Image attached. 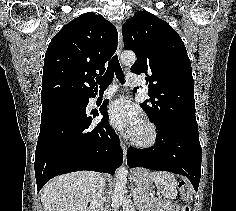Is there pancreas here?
<instances>
[{"label": "pancreas", "mask_w": 236, "mask_h": 211, "mask_svg": "<svg viewBox=\"0 0 236 211\" xmlns=\"http://www.w3.org/2000/svg\"><path fill=\"white\" fill-rule=\"evenodd\" d=\"M134 194L137 195L135 205L142 211H150L152 208H158L162 206V202L159 198L149 196V194L142 189H137Z\"/></svg>", "instance_id": "pancreas-1"}]
</instances>
